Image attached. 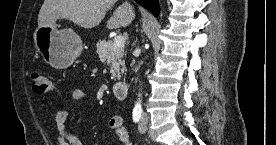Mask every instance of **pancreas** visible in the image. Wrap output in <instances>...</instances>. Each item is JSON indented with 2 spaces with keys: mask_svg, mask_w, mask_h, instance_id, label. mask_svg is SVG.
Here are the masks:
<instances>
[{
  "mask_svg": "<svg viewBox=\"0 0 276 145\" xmlns=\"http://www.w3.org/2000/svg\"><path fill=\"white\" fill-rule=\"evenodd\" d=\"M97 54L102 63L110 66V74L113 80L121 78L124 71L125 61L123 60L124 48H115L111 41L99 40L96 44Z\"/></svg>",
  "mask_w": 276,
  "mask_h": 145,
  "instance_id": "obj_1",
  "label": "pancreas"
}]
</instances>
